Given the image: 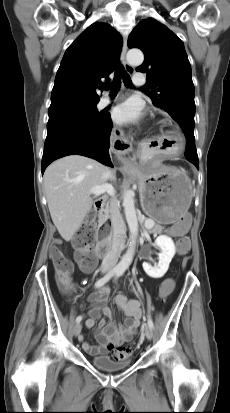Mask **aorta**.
<instances>
[{"label":"aorta","instance_id":"1","mask_svg":"<svg viewBox=\"0 0 230 413\" xmlns=\"http://www.w3.org/2000/svg\"><path fill=\"white\" fill-rule=\"evenodd\" d=\"M144 60V55L139 49H131L127 53V61L131 65H140ZM135 193L131 189L124 190L123 193V207L125 212L126 221L130 231L131 242L129 247L123 256L122 260L118 264V267L125 270L132 262L134 254L136 241L138 237V219L135 209L134 201Z\"/></svg>","mask_w":230,"mask_h":413}]
</instances>
